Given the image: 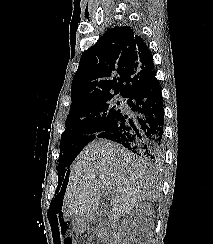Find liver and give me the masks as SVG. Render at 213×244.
<instances>
[{"label": "liver", "mask_w": 213, "mask_h": 244, "mask_svg": "<svg viewBox=\"0 0 213 244\" xmlns=\"http://www.w3.org/2000/svg\"><path fill=\"white\" fill-rule=\"evenodd\" d=\"M105 189L112 194L114 220L129 214L139 202H155L161 195L159 177L144 160L116 143L93 142L72 165L63 199L64 217L96 213Z\"/></svg>", "instance_id": "6515ba94"}]
</instances>
